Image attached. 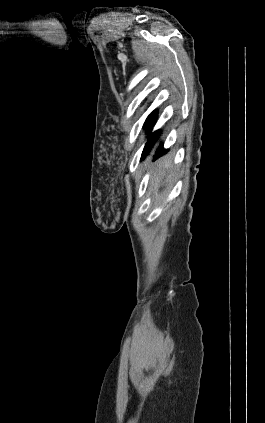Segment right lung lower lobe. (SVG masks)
<instances>
[{
	"label": "right lung lower lobe",
	"instance_id": "obj_1",
	"mask_svg": "<svg viewBox=\"0 0 265 423\" xmlns=\"http://www.w3.org/2000/svg\"><path fill=\"white\" fill-rule=\"evenodd\" d=\"M156 118H157V112L153 111L149 115V117L147 118V120L145 122V128H146L147 132L150 134V136H149L148 141H147L145 148L143 150L142 158H144L146 153L150 150V148L152 147L153 143L155 142V140L157 139V136L159 134V131L151 133V129H152V126L156 122ZM165 151L166 150L163 149V146H160L159 149L157 150L156 157H158L160 154L164 153Z\"/></svg>",
	"mask_w": 265,
	"mask_h": 423
}]
</instances>
